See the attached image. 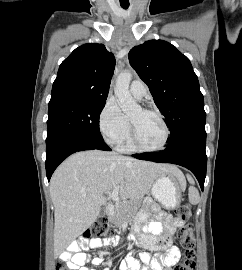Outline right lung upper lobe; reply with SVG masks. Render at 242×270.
I'll use <instances>...</instances> for the list:
<instances>
[{"mask_svg": "<svg viewBox=\"0 0 242 270\" xmlns=\"http://www.w3.org/2000/svg\"><path fill=\"white\" fill-rule=\"evenodd\" d=\"M114 67V55L103 44L88 43L76 48L59 67L49 106L65 102H105Z\"/></svg>", "mask_w": 242, "mask_h": 270, "instance_id": "right-lung-upper-lobe-1", "label": "right lung upper lobe"}]
</instances>
